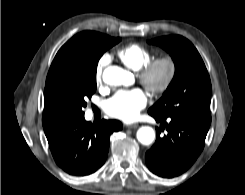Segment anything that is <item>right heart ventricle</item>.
Wrapping results in <instances>:
<instances>
[{"mask_svg": "<svg viewBox=\"0 0 245 195\" xmlns=\"http://www.w3.org/2000/svg\"><path fill=\"white\" fill-rule=\"evenodd\" d=\"M117 56L126 67L139 71L153 58V53L140 44L132 43L120 48Z\"/></svg>", "mask_w": 245, "mask_h": 195, "instance_id": "e07e8e85", "label": "right heart ventricle"}]
</instances>
